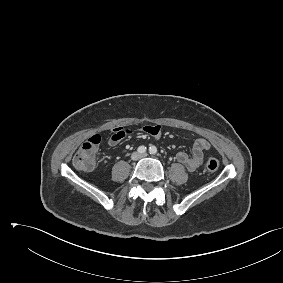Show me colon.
Here are the masks:
<instances>
[{
    "mask_svg": "<svg viewBox=\"0 0 283 283\" xmlns=\"http://www.w3.org/2000/svg\"><path fill=\"white\" fill-rule=\"evenodd\" d=\"M101 138L99 135H93L82 144L73 157V164L77 169L89 171L96 164V156ZM206 168L210 172H214L219 168L218 159L211 157L206 161Z\"/></svg>",
    "mask_w": 283,
    "mask_h": 283,
    "instance_id": "obj_1",
    "label": "colon"
}]
</instances>
